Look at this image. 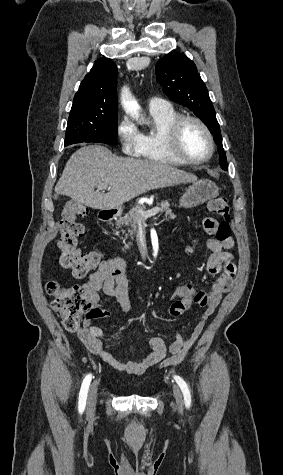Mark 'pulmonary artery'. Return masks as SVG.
Instances as JSON below:
<instances>
[{"mask_svg": "<svg viewBox=\"0 0 283 475\" xmlns=\"http://www.w3.org/2000/svg\"><path fill=\"white\" fill-rule=\"evenodd\" d=\"M170 104L159 98V97H152L148 100V107L149 109H155V108H160V107H167L169 106Z\"/></svg>", "mask_w": 283, "mask_h": 475, "instance_id": "e3ab8cb5", "label": "pulmonary artery"}]
</instances>
